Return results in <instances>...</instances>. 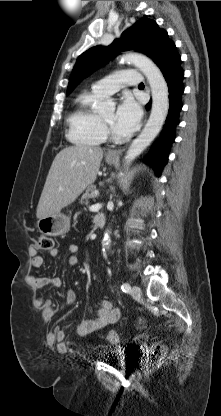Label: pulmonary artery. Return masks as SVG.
Wrapping results in <instances>:
<instances>
[{"label": "pulmonary artery", "mask_w": 221, "mask_h": 416, "mask_svg": "<svg viewBox=\"0 0 221 416\" xmlns=\"http://www.w3.org/2000/svg\"><path fill=\"white\" fill-rule=\"evenodd\" d=\"M143 80L142 74L137 69L119 70L108 77L98 81L92 86V91L102 96H109L126 85H139Z\"/></svg>", "instance_id": "e3ab8cb5"}]
</instances>
